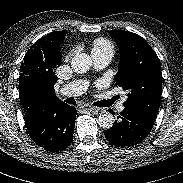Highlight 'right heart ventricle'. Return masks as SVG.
<instances>
[{
	"label": "right heart ventricle",
	"mask_w": 183,
	"mask_h": 183,
	"mask_svg": "<svg viewBox=\"0 0 183 183\" xmlns=\"http://www.w3.org/2000/svg\"><path fill=\"white\" fill-rule=\"evenodd\" d=\"M115 53L114 44L107 38H97L92 43V55H109L113 57Z\"/></svg>",
	"instance_id": "right-heart-ventricle-1"
}]
</instances>
